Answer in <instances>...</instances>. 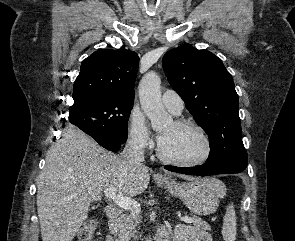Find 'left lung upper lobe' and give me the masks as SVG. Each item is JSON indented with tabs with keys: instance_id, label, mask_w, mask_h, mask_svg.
<instances>
[{
	"instance_id": "obj_1",
	"label": "left lung upper lobe",
	"mask_w": 295,
	"mask_h": 241,
	"mask_svg": "<svg viewBox=\"0 0 295 241\" xmlns=\"http://www.w3.org/2000/svg\"><path fill=\"white\" fill-rule=\"evenodd\" d=\"M162 64L170 85L209 137L206 163L246 169L238 95L221 59L207 50L183 45L168 51Z\"/></svg>"
}]
</instances>
